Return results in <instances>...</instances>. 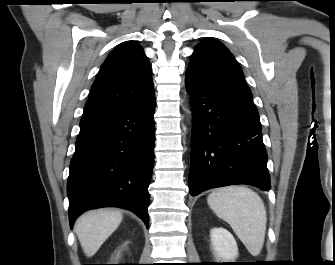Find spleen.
Here are the masks:
<instances>
[{"label": "spleen", "instance_id": "3e777b00", "mask_svg": "<svg viewBox=\"0 0 335 265\" xmlns=\"http://www.w3.org/2000/svg\"><path fill=\"white\" fill-rule=\"evenodd\" d=\"M207 202L226 221L253 256L260 254L266 232L267 214L260 196L246 186L214 190Z\"/></svg>", "mask_w": 335, "mask_h": 265}]
</instances>
